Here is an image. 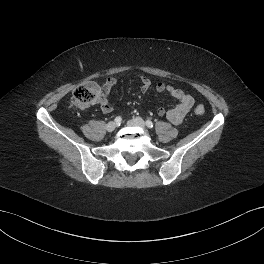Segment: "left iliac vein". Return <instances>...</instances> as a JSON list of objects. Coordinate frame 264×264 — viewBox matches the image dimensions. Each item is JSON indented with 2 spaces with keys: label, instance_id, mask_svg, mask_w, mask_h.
Instances as JSON below:
<instances>
[{
  "label": "left iliac vein",
  "instance_id": "4c4485c4",
  "mask_svg": "<svg viewBox=\"0 0 264 264\" xmlns=\"http://www.w3.org/2000/svg\"><path fill=\"white\" fill-rule=\"evenodd\" d=\"M127 123L130 126H137V127L143 128V129L145 128V122L140 117L133 118V119L129 120Z\"/></svg>",
  "mask_w": 264,
  "mask_h": 264
}]
</instances>
